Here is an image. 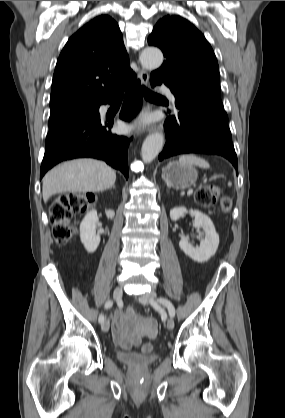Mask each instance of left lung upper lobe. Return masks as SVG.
<instances>
[{
    "instance_id": "obj_1",
    "label": "left lung upper lobe",
    "mask_w": 285,
    "mask_h": 418,
    "mask_svg": "<svg viewBox=\"0 0 285 418\" xmlns=\"http://www.w3.org/2000/svg\"><path fill=\"white\" fill-rule=\"evenodd\" d=\"M148 44L159 47L166 58L151 78L170 88L176 107L183 102H202L224 110L216 56L204 35L188 20L176 15L163 17L153 28Z\"/></svg>"
}]
</instances>
